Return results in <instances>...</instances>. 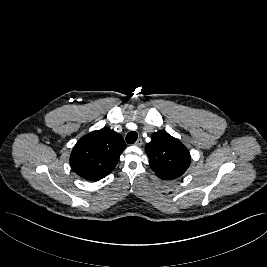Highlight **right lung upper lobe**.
<instances>
[{
    "instance_id": "obj_1",
    "label": "right lung upper lobe",
    "mask_w": 267,
    "mask_h": 267,
    "mask_svg": "<svg viewBox=\"0 0 267 267\" xmlns=\"http://www.w3.org/2000/svg\"><path fill=\"white\" fill-rule=\"evenodd\" d=\"M125 148L122 135L114 130L102 128L92 131L74 146L70 165L80 177L97 181L112 172Z\"/></svg>"
}]
</instances>
